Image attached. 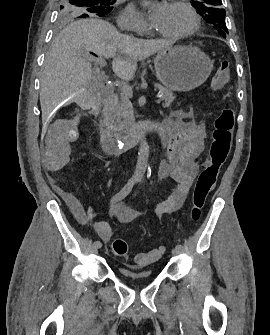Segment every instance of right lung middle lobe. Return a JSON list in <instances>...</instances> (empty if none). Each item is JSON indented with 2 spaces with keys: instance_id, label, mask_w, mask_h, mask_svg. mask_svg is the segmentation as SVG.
Here are the masks:
<instances>
[{
  "instance_id": "dd1d6c3e",
  "label": "right lung middle lobe",
  "mask_w": 270,
  "mask_h": 335,
  "mask_svg": "<svg viewBox=\"0 0 270 335\" xmlns=\"http://www.w3.org/2000/svg\"><path fill=\"white\" fill-rule=\"evenodd\" d=\"M114 3L115 0H62L58 21L64 23L90 16L103 17L113 9Z\"/></svg>"
}]
</instances>
